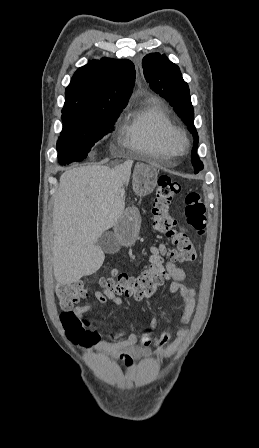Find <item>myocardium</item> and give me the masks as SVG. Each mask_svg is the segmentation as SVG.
<instances>
[{"label": "myocardium", "instance_id": "myocardium-1", "mask_svg": "<svg viewBox=\"0 0 259 448\" xmlns=\"http://www.w3.org/2000/svg\"><path fill=\"white\" fill-rule=\"evenodd\" d=\"M167 150L159 151L156 156H149L145 152L139 157L146 163H172L189 154L190 142L186 132L173 126L166 135Z\"/></svg>", "mask_w": 259, "mask_h": 448}]
</instances>
